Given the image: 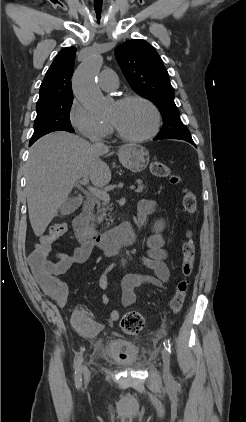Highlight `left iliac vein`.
<instances>
[{"label": "left iliac vein", "mask_w": 246, "mask_h": 422, "mask_svg": "<svg viewBox=\"0 0 246 422\" xmlns=\"http://www.w3.org/2000/svg\"><path fill=\"white\" fill-rule=\"evenodd\" d=\"M161 356H162V361H163V376L165 380H169L171 378L170 356H169L168 351L165 348H162Z\"/></svg>", "instance_id": "obj_1"}]
</instances>
